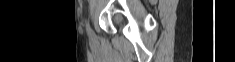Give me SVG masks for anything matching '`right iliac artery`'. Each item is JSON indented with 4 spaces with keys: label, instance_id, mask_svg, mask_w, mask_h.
<instances>
[{
    "label": "right iliac artery",
    "instance_id": "82829eb1",
    "mask_svg": "<svg viewBox=\"0 0 235 62\" xmlns=\"http://www.w3.org/2000/svg\"><path fill=\"white\" fill-rule=\"evenodd\" d=\"M87 32H88V34H89V36H92V30L90 29V26H89V24H87Z\"/></svg>",
    "mask_w": 235,
    "mask_h": 62
}]
</instances>
